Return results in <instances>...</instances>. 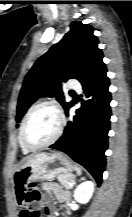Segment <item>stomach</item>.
Wrapping results in <instances>:
<instances>
[{"label": "stomach", "instance_id": "1", "mask_svg": "<svg viewBox=\"0 0 132 217\" xmlns=\"http://www.w3.org/2000/svg\"><path fill=\"white\" fill-rule=\"evenodd\" d=\"M74 166L68 156L61 152L40 153L14 172L12 182L14 186H27L32 181L52 180L57 175L70 174Z\"/></svg>", "mask_w": 132, "mask_h": 217}]
</instances>
